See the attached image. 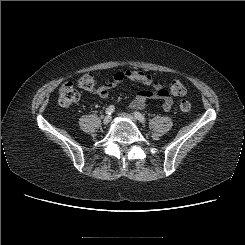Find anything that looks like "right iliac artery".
I'll return each mask as SVG.
<instances>
[{"mask_svg": "<svg viewBox=\"0 0 245 245\" xmlns=\"http://www.w3.org/2000/svg\"><path fill=\"white\" fill-rule=\"evenodd\" d=\"M115 111V107L113 105H110L108 108H106V114L111 115Z\"/></svg>", "mask_w": 245, "mask_h": 245, "instance_id": "1", "label": "right iliac artery"}]
</instances>
